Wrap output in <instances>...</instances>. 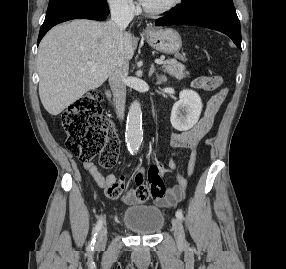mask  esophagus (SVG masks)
I'll return each mask as SVG.
<instances>
[{"label": "esophagus", "mask_w": 286, "mask_h": 269, "mask_svg": "<svg viewBox=\"0 0 286 269\" xmlns=\"http://www.w3.org/2000/svg\"><path fill=\"white\" fill-rule=\"evenodd\" d=\"M153 29L152 25H148L146 27V32H150Z\"/></svg>", "instance_id": "obj_1"}]
</instances>
